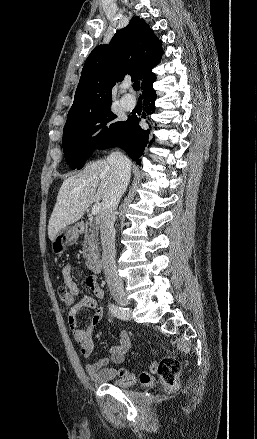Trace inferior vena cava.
<instances>
[{
  "mask_svg": "<svg viewBox=\"0 0 257 439\" xmlns=\"http://www.w3.org/2000/svg\"><path fill=\"white\" fill-rule=\"evenodd\" d=\"M107 162L113 169L109 190L103 200L100 234L103 249L102 262L105 279L110 288H123L115 262V210L130 181L131 164L127 157L120 152H114L107 157Z\"/></svg>",
  "mask_w": 257,
  "mask_h": 439,
  "instance_id": "obj_1",
  "label": "inferior vena cava"
}]
</instances>
